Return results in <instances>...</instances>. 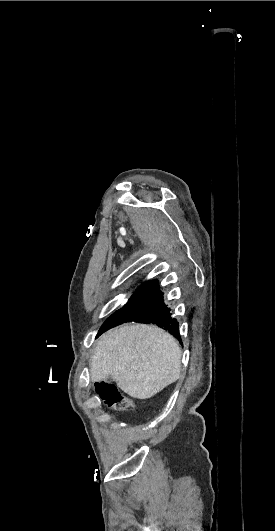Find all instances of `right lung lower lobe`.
Segmentation results:
<instances>
[{"instance_id":"98d812e1","label":"right lung lower lobe","mask_w":275,"mask_h":531,"mask_svg":"<svg viewBox=\"0 0 275 531\" xmlns=\"http://www.w3.org/2000/svg\"><path fill=\"white\" fill-rule=\"evenodd\" d=\"M132 321L157 324L180 339L179 323L171 317L170 309L164 304L163 293L157 280H148L141 284L128 302L104 322L99 334Z\"/></svg>"}]
</instances>
